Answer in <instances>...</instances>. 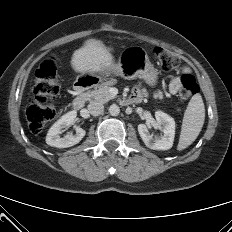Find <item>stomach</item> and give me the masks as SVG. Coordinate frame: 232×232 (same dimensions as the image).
Instances as JSON below:
<instances>
[{
	"label": "stomach",
	"mask_w": 232,
	"mask_h": 232,
	"mask_svg": "<svg viewBox=\"0 0 232 232\" xmlns=\"http://www.w3.org/2000/svg\"><path fill=\"white\" fill-rule=\"evenodd\" d=\"M86 72L77 77L76 82L86 81L88 84L94 83L102 78H106L111 74L121 76L125 79H133L140 77L145 82L154 86L157 82L158 72L149 61L147 52L140 46H132L126 48L120 55L118 63L106 66L97 72Z\"/></svg>",
	"instance_id": "1"
}]
</instances>
